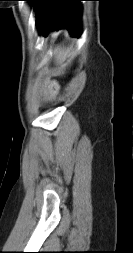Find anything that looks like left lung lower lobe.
I'll return each mask as SVG.
<instances>
[{"label": "left lung lower lobe", "instance_id": "0a47b994", "mask_svg": "<svg viewBox=\"0 0 133 253\" xmlns=\"http://www.w3.org/2000/svg\"><path fill=\"white\" fill-rule=\"evenodd\" d=\"M35 3L39 33L67 28L71 35L80 36L81 1L84 0H25Z\"/></svg>", "mask_w": 133, "mask_h": 253}]
</instances>
